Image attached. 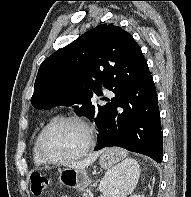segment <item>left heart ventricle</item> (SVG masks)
I'll return each mask as SVG.
<instances>
[{"mask_svg": "<svg viewBox=\"0 0 191 197\" xmlns=\"http://www.w3.org/2000/svg\"><path fill=\"white\" fill-rule=\"evenodd\" d=\"M88 141L85 128L73 121L53 126L44 138L46 152L54 158H66L79 153Z\"/></svg>", "mask_w": 191, "mask_h": 197, "instance_id": "obj_1", "label": "left heart ventricle"}]
</instances>
